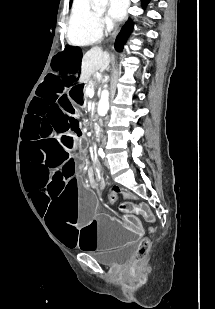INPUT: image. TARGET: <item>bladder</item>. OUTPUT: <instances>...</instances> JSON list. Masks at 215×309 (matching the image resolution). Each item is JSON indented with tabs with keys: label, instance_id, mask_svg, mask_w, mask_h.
Segmentation results:
<instances>
[{
	"label": "bladder",
	"instance_id": "bladder-1",
	"mask_svg": "<svg viewBox=\"0 0 215 309\" xmlns=\"http://www.w3.org/2000/svg\"><path fill=\"white\" fill-rule=\"evenodd\" d=\"M135 254L136 247L134 245H127L115 252L98 255L96 259L102 265L118 268L128 264Z\"/></svg>",
	"mask_w": 215,
	"mask_h": 309
}]
</instances>
